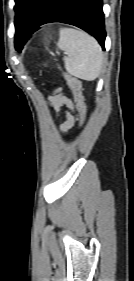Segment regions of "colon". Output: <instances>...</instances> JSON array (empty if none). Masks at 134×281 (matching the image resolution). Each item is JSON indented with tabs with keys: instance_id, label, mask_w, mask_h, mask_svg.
Here are the masks:
<instances>
[{
	"instance_id": "1",
	"label": "colon",
	"mask_w": 134,
	"mask_h": 281,
	"mask_svg": "<svg viewBox=\"0 0 134 281\" xmlns=\"http://www.w3.org/2000/svg\"><path fill=\"white\" fill-rule=\"evenodd\" d=\"M63 76L66 80L67 85L73 93L76 107L79 113L80 123L82 124L86 118V103L82 91L81 82L77 78L66 72H63Z\"/></svg>"
}]
</instances>
